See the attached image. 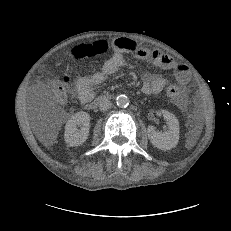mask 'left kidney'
<instances>
[{"label": "left kidney", "instance_id": "5707ae66", "mask_svg": "<svg viewBox=\"0 0 231 231\" xmlns=\"http://www.w3.org/2000/svg\"><path fill=\"white\" fill-rule=\"evenodd\" d=\"M164 119L168 122L169 130L167 132H157L153 126L147 129L150 142L158 149L170 150L178 144L179 141V122L176 116L166 110L160 111Z\"/></svg>", "mask_w": 231, "mask_h": 231}]
</instances>
